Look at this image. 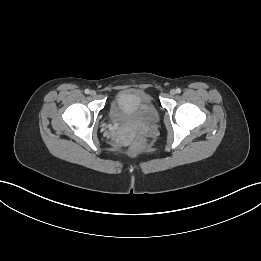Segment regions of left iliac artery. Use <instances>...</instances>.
<instances>
[{
    "mask_svg": "<svg viewBox=\"0 0 261 261\" xmlns=\"http://www.w3.org/2000/svg\"><path fill=\"white\" fill-rule=\"evenodd\" d=\"M176 92H177V93H181V89H180V88H177V89H176Z\"/></svg>",
    "mask_w": 261,
    "mask_h": 261,
    "instance_id": "1",
    "label": "left iliac artery"
}]
</instances>
